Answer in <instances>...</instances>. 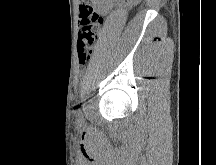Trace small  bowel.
<instances>
[{"label": "small bowel", "mask_w": 216, "mask_h": 165, "mask_svg": "<svg viewBox=\"0 0 216 165\" xmlns=\"http://www.w3.org/2000/svg\"><path fill=\"white\" fill-rule=\"evenodd\" d=\"M139 0H128L129 4H136ZM112 0H81L80 17L83 10H94L97 14H106Z\"/></svg>", "instance_id": "obj_1"}]
</instances>
